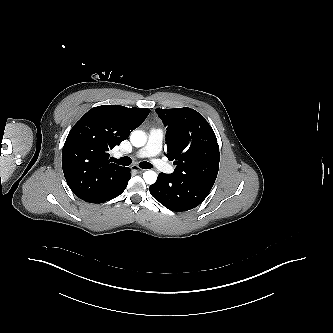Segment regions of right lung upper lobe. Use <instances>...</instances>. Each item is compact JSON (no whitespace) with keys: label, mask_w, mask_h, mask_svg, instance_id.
<instances>
[{"label":"right lung upper lobe","mask_w":333,"mask_h":333,"mask_svg":"<svg viewBox=\"0 0 333 333\" xmlns=\"http://www.w3.org/2000/svg\"><path fill=\"white\" fill-rule=\"evenodd\" d=\"M149 113L147 108L97 106L73 126L63 146L62 168L76 196L92 202L119 184L126 167L110 163L108 152L126 140Z\"/></svg>","instance_id":"cb5924a9"}]
</instances>
